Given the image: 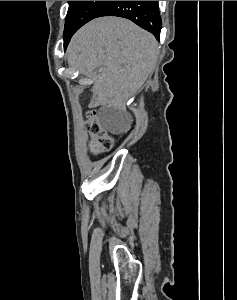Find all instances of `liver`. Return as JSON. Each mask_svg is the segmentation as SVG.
I'll list each match as a JSON object with an SVG mask.
<instances>
[{
  "instance_id": "obj_1",
  "label": "liver",
  "mask_w": 237,
  "mask_h": 300,
  "mask_svg": "<svg viewBox=\"0 0 237 300\" xmlns=\"http://www.w3.org/2000/svg\"><path fill=\"white\" fill-rule=\"evenodd\" d=\"M68 61L80 73H95L100 99L125 103L153 73L158 43L147 31L120 17H100L81 27L68 47Z\"/></svg>"
}]
</instances>
